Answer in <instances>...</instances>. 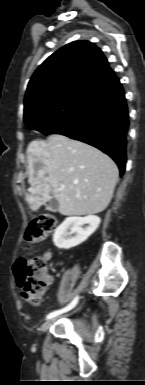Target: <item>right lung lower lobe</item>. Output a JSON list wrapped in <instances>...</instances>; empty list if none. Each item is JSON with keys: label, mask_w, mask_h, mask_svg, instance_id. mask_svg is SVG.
Listing matches in <instances>:
<instances>
[{"label": "right lung lower lobe", "mask_w": 145, "mask_h": 385, "mask_svg": "<svg viewBox=\"0 0 145 385\" xmlns=\"http://www.w3.org/2000/svg\"><path fill=\"white\" fill-rule=\"evenodd\" d=\"M128 127L125 93L117 80L99 90L80 112L52 134H62L100 149L117 163L123 175Z\"/></svg>", "instance_id": "98d812e1"}]
</instances>
